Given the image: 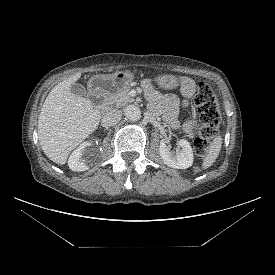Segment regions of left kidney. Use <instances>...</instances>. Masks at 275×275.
I'll use <instances>...</instances> for the list:
<instances>
[{"label": "left kidney", "mask_w": 275, "mask_h": 275, "mask_svg": "<svg viewBox=\"0 0 275 275\" xmlns=\"http://www.w3.org/2000/svg\"><path fill=\"white\" fill-rule=\"evenodd\" d=\"M181 147L180 152H173L169 149L167 141L165 139L161 140L159 146V152L164 163L174 169H187L193 164V151L190 143L181 139L178 142Z\"/></svg>", "instance_id": "obj_1"}]
</instances>
